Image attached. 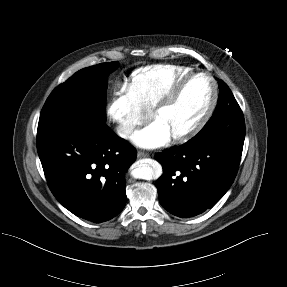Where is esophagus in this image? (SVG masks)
Listing matches in <instances>:
<instances>
[{
    "mask_svg": "<svg viewBox=\"0 0 287 287\" xmlns=\"http://www.w3.org/2000/svg\"><path fill=\"white\" fill-rule=\"evenodd\" d=\"M149 155L147 154V153H144V152H141V151H139L138 153H137V157L138 158H146V157H148Z\"/></svg>",
    "mask_w": 287,
    "mask_h": 287,
    "instance_id": "34e87169",
    "label": "esophagus"
}]
</instances>
